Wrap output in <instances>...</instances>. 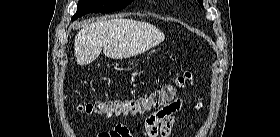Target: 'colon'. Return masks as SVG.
Listing matches in <instances>:
<instances>
[{"label": "colon", "mask_w": 280, "mask_h": 137, "mask_svg": "<svg viewBox=\"0 0 280 137\" xmlns=\"http://www.w3.org/2000/svg\"><path fill=\"white\" fill-rule=\"evenodd\" d=\"M194 82V74L191 71H186L178 76L173 83L165 84L146 96L134 99L97 100L81 104L79 110L86 114L104 116L144 114L172 100L179 90L193 86Z\"/></svg>", "instance_id": "colon-1"}]
</instances>
